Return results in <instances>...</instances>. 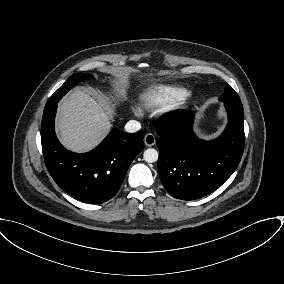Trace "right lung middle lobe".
Wrapping results in <instances>:
<instances>
[{
  "label": "right lung middle lobe",
  "instance_id": "1",
  "mask_svg": "<svg viewBox=\"0 0 284 284\" xmlns=\"http://www.w3.org/2000/svg\"><path fill=\"white\" fill-rule=\"evenodd\" d=\"M91 75L78 73L70 76L66 82L49 98L46 103L45 108L52 106L53 104L57 103L63 95H65L75 84L79 83L90 77Z\"/></svg>",
  "mask_w": 284,
  "mask_h": 284
}]
</instances>
